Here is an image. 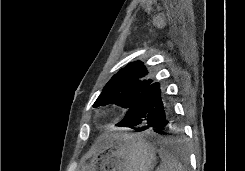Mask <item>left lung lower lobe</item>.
<instances>
[{"label":"left lung lower lobe","mask_w":245,"mask_h":171,"mask_svg":"<svg viewBox=\"0 0 245 171\" xmlns=\"http://www.w3.org/2000/svg\"><path fill=\"white\" fill-rule=\"evenodd\" d=\"M173 120V107L162 94L160 84L155 82L140 93L134 106L116 126L130 127L137 132L153 128L154 132L164 135Z\"/></svg>","instance_id":"obj_1"}]
</instances>
